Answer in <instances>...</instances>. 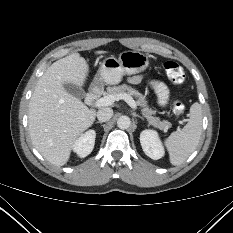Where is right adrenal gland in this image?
<instances>
[{"label":"right adrenal gland","mask_w":233,"mask_h":233,"mask_svg":"<svg viewBox=\"0 0 233 233\" xmlns=\"http://www.w3.org/2000/svg\"><path fill=\"white\" fill-rule=\"evenodd\" d=\"M98 123H99V124H102V122H101V121H97V122H96V124H98Z\"/></svg>","instance_id":"obj_1"}]
</instances>
